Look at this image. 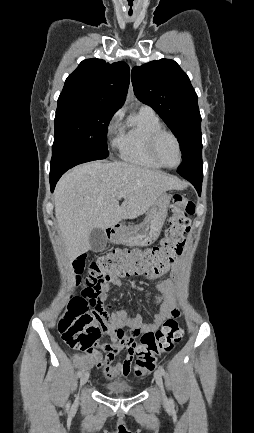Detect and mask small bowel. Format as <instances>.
<instances>
[{"label":"small bowel","mask_w":254,"mask_h":433,"mask_svg":"<svg viewBox=\"0 0 254 433\" xmlns=\"http://www.w3.org/2000/svg\"><path fill=\"white\" fill-rule=\"evenodd\" d=\"M170 263L160 273L146 276L156 278L158 275L166 273ZM120 286L121 280L119 277H116L98 291L101 303L98 309L100 315L98 336L101 333H105L112 337L113 342L101 344L100 349L102 352L96 350L93 354H77L75 358L78 368L89 370L93 366H97L103 370V374L107 379L128 376L135 355L133 350L137 345L135 339L146 332L158 329L166 319L178 313L172 302L174 284L171 281L159 282L157 284L159 293L154 298V304L158 308V312L151 322H145L140 315H131L126 310L109 312L108 306L104 305L107 291L111 287L117 288ZM85 296L87 297L86 293ZM120 352H124L123 358L113 364L115 356Z\"/></svg>","instance_id":"1"}]
</instances>
